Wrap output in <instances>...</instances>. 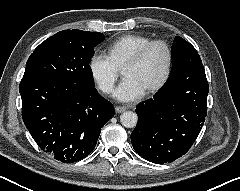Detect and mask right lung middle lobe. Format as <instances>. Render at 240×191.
<instances>
[{
    "mask_svg": "<svg viewBox=\"0 0 240 191\" xmlns=\"http://www.w3.org/2000/svg\"><path fill=\"white\" fill-rule=\"evenodd\" d=\"M105 36L82 30H64L43 41L30 55L22 79L51 78L76 87H94L90 60Z\"/></svg>",
    "mask_w": 240,
    "mask_h": 191,
    "instance_id": "dd1d6c3e",
    "label": "right lung middle lobe"
}]
</instances>
